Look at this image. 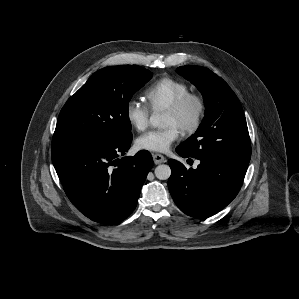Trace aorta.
I'll return each mask as SVG.
<instances>
[{
    "label": "aorta",
    "instance_id": "762f6f07",
    "mask_svg": "<svg viewBox=\"0 0 299 299\" xmlns=\"http://www.w3.org/2000/svg\"><path fill=\"white\" fill-rule=\"evenodd\" d=\"M150 123L157 128H166L167 118L164 114H152L150 116ZM154 173L159 180H167L171 176V168L169 165L161 164L155 168Z\"/></svg>",
    "mask_w": 299,
    "mask_h": 299
}]
</instances>
